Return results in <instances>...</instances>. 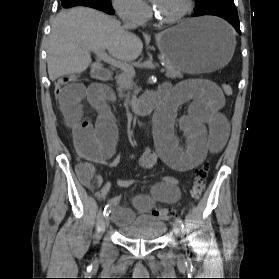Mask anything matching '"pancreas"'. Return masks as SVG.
<instances>
[{"instance_id":"1","label":"pancreas","mask_w":279,"mask_h":279,"mask_svg":"<svg viewBox=\"0 0 279 279\" xmlns=\"http://www.w3.org/2000/svg\"><path fill=\"white\" fill-rule=\"evenodd\" d=\"M159 59L164 64V67L166 68V77L176 79V78H182L183 75L179 69L174 67L170 61L166 60L164 57H159ZM134 75L130 72H121L117 77V85H118V92L119 97H124L125 95L123 92L132 89L134 82H133Z\"/></svg>"}]
</instances>
